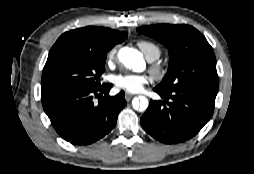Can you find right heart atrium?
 I'll return each instance as SVG.
<instances>
[{
	"label": "right heart atrium",
	"mask_w": 254,
	"mask_h": 174,
	"mask_svg": "<svg viewBox=\"0 0 254 174\" xmlns=\"http://www.w3.org/2000/svg\"><path fill=\"white\" fill-rule=\"evenodd\" d=\"M116 53H117L116 46L109 49V51L106 54V60L108 64H111L113 62V60L115 59Z\"/></svg>",
	"instance_id": "1"
}]
</instances>
